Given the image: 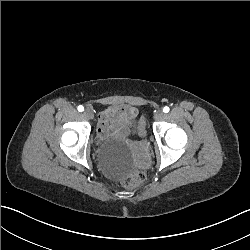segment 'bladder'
<instances>
[{"mask_svg":"<svg viewBox=\"0 0 250 250\" xmlns=\"http://www.w3.org/2000/svg\"><path fill=\"white\" fill-rule=\"evenodd\" d=\"M110 123L113 125V130L117 129L120 130L121 133L125 136V120L124 122H122L121 124H117L116 121L114 119H110ZM103 133H109L106 132L104 130H99L98 132H96L94 134V137H96L98 139V137L103 134ZM112 134L114 137H118L117 135H115L114 133H110Z\"/></svg>","mask_w":250,"mask_h":250,"instance_id":"1","label":"bladder"}]
</instances>
